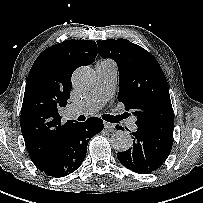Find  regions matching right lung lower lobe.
Returning a JSON list of instances; mask_svg holds the SVG:
<instances>
[{"instance_id": "98d812e1", "label": "right lung lower lobe", "mask_w": 203, "mask_h": 203, "mask_svg": "<svg viewBox=\"0 0 203 203\" xmlns=\"http://www.w3.org/2000/svg\"><path fill=\"white\" fill-rule=\"evenodd\" d=\"M103 130V121L97 117L71 124L53 157L44 166L37 167L51 177H63L74 172L86 156L89 140Z\"/></svg>"}]
</instances>
